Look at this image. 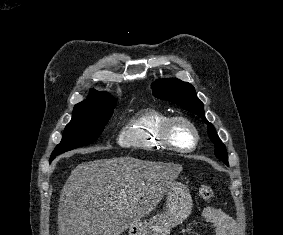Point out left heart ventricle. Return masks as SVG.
<instances>
[{
  "instance_id": "obj_1",
  "label": "left heart ventricle",
  "mask_w": 283,
  "mask_h": 235,
  "mask_svg": "<svg viewBox=\"0 0 283 235\" xmlns=\"http://www.w3.org/2000/svg\"><path fill=\"white\" fill-rule=\"evenodd\" d=\"M173 141L181 147H189L193 144V135L190 129L183 124H176L172 129Z\"/></svg>"
}]
</instances>
